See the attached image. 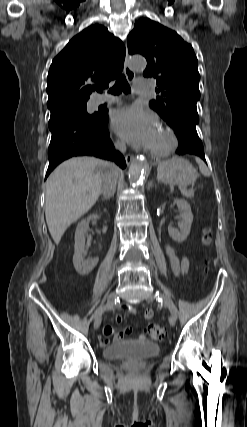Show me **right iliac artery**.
<instances>
[{"label":"right iliac artery","instance_id":"right-iliac-artery-1","mask_svg":"<svg viewBox=\"0 0 247 427\" xmlns=\"http://www.w3.org/2000/svg\"><path fill=\"white\" fill-rule=\"evenodd\" d=\"M112 306V304H106V305H104V306H102L99 310H98V312H97V314L98 313H103L104 311H106L108 308H110Z\"/></svg>","mask_w":247,"mask_h":427}]
</instances>
